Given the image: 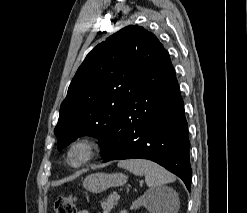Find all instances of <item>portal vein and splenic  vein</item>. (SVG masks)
<instances>
[{
	"label": "portal vein and splenic vein",
	"mask_w": 247,
	"mask_h": 213,
	"mask_svg": "<svg viewBox=\"0 0 247 213\" xmlns=\"http://www.w3.org/2000/svg\"><path fill=\"white\" fill-rule=\"evenodd\" d=\"M114 196H115L116 198H118V197H120V194L115 193Z\"/></svg>",
	"instance_id": "portal-vein-and-splenic-vein-1"
}]
</instances>
